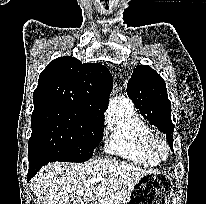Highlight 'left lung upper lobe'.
<instances>
[{
    "label": "left lung upper lobe",
    "mask_w": 206,
    "mask_h": 204,
    "mask_svg": "<svg viewBox=\"0 0 206 204\" xmlns=\"http://www.w3.org/2000/svg\"><path fill=\"white\" fill-rule=\"evenodd\" d=\"M127 95L144 119L166 134L172 148L174 124L171 120V102L163 78L151 67L138 65L128 81Z\"/></svg>",
    "instance_id": "5c2ea615"
}]
</instances>
